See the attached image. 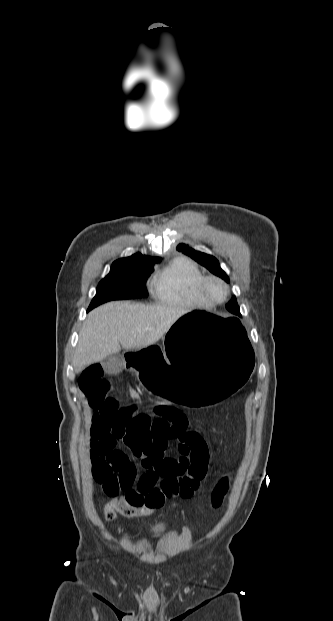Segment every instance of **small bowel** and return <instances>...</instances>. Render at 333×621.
<instances>
[{"instance_id": "obj_1", "label": "small bowel", "mask_w": 333, "mask_h": 621, "mask_svg": "<svg viewBox=\"0 0 333 621\" xmlns=\"http://www.w3.org/2000/svg\"><path fill=\"white\" fill-rule=\"evenodd\" d=\"M120 364L119 357L110 356L88 365L80 376V392L95 410L89 447L92 472L101 463L122 469L131 455L145 469L122 497L132 507L161 508L167 499L192 497L208 469L205 441L176 406L159 404L152 414L139 412L141 397L130 385L124 390L135 404L122 406L110 395V383L104 379L105 373L115 372ZM172 439L179 441L178 458L163 454Z\"/></svg>"}]
</instances>
